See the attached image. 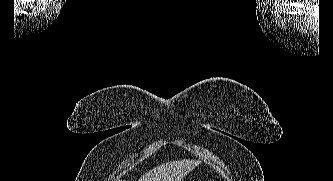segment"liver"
Here are the masks:
<instances>
[{"label":"liver","mask_w":333,"mask_h":181,"mask_svg":"<svg viewBox=\"0 0 333 181\" xmlns=\"http://www.w3.org/2000/svg\"><path fill=\"white\" fill-rule=\"evenodd\" d=\"M197 165L198 162L192 160L164 163L145 173L138 181H181Z\"/></svg>","instance_id":"obj_1"}]
</instances>
